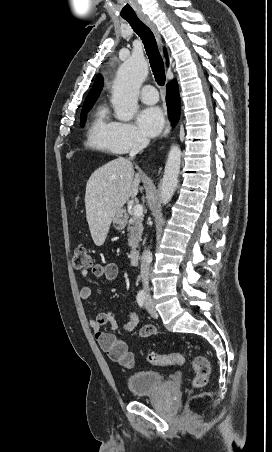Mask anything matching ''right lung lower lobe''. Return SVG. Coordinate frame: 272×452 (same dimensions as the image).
Segmentation results:
<instances>
[{
  "mask_svg": "<svg viewBox=\"0 0 272 452\" xmlns=\"http://www.w3.org/2000/svg\"><path fill=\"white\" fill-rule=\"evenodd\" d=\"M166 102L168 107L169 119L174 124L180 116V96L178 86L175 81L167 84Z\"/></svg>",
  "mask_w": 272,
  "mask_h": 452,
  "instance_id": "right-lung-lower-lobe-1",
  "label": "right lung lower lobe"
}]
</instances>
